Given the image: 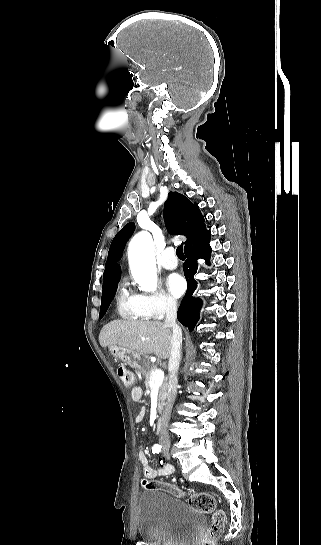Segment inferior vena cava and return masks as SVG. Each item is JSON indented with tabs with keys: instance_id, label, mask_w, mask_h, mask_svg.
I'll list each match as a JSON object with an SVG mask.
<instances>
[{
	"instance_id": "602c4592",
	"label": "inferior vena cava",
	"mask_w": 321,
	"mask_h": 545,
	"mask_svg": "<svg viewBox=\"0 0 321 545\" xmlns=\"http://www.w3.org/2000/svg\"><path fill=\"white\" fill-rule=\"evenodd\" d=\"M165 325L166 327H172L173 337L171 343V353L168 361L169 381H168V393L167 403L165 405V411L160 421V443L163 450L168 451L171 449V442L168 433V423L171 417V409L176 399L177 387H178V369L181 361V345H182V331L176 323L177 317V303L172 299H167L165 303Z\"/></svg>"
}]
</instances>
